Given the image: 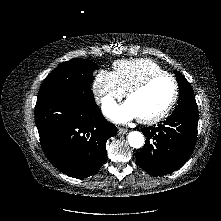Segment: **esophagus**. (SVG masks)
Masks as SVG:
<instances>
[{
  "label": "esophagus",
  "mask_w": 221,
  "mask_h": 221,
  "mask_svg": "<svg viewBox=\"0 0 221 221\" xmlns=\"http://www.w3.org/2000/svg\"><path fill=\"white\" fill-rule=\"evenodd\" d=\"M127 133H128V130H127V129L121 128V127L118 128V134H119V135L127 134Z\"/></svg>",
  "instance_id": "34e87169"
}]
</instances>
